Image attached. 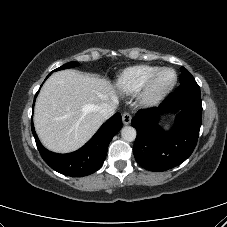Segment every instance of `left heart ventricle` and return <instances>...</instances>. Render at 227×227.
<instances>
[{"label": "left heart ventricle", "mask_w": 227, "mask_h": 227, "mask_svg": "<svg viewBox=\"0 0 227 227\" xmlns=\"http://www.w3.org/2000/svg\"><path fill=\"white\" fill-rule=\"evenodd\" d=\"M174 79V74L171 71L163 72L158 79V86L163 87L170 84Z\"/></svg>", "instance_id": "obj_1"}]
</instances>
